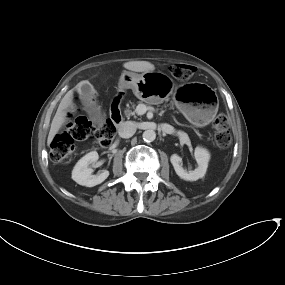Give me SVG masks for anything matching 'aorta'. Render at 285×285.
I'll list each match as a JSON object with an SVG mask.
<instances>
[{"mask_svg": "<svg viewBox=\"0 0 285 285\" xmlns=\"http://www.w3.org/2000/svg\"><path fill=\"white\" fill-rule=\"evenodd\" d=\"M142 137L145 142H153L156 138V133L154 130H145Z\"/></svg>", "mask_w": 285, "mask_h": 285, "instance_id": "aorta-1", "label": "aorta"}]
</instances>
